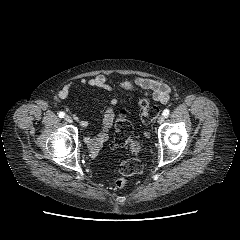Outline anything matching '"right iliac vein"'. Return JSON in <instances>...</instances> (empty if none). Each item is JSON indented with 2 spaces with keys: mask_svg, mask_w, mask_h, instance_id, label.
Wrapping results in <instances>:
<instances>
[{
  "mask_svg": "<svg viewBox=\"0 0 240 240\" xmlns=\"http://www.w3.org/2000/svg\"><path fill=\"white\" fill-rule=\"evenodd\" d=\"M65 120L68 122V123H72V117L71 116H69V115H66L65 116Z\"/></svg>",
  "mask_w": 240,
  "mask_h": 240,
  "instance_id": "63e3f726",
  "label": "right iliac vein"
}]
</instances>
